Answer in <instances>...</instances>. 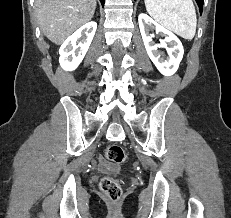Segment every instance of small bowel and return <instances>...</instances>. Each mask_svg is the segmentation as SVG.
I'll return each mask as SVG.
<instances>
[{
    "label": "small bowel",
    "instance_id": "small-bowel-1",
    "mask_svg": "<svg viewBox=\"0 0 231 218\" xmlns=\"http://www.w3.org/2000/svg\"><path fill=\"white\" fill-rule=\"evenodd\" d=\"M98 167L99 170L104 173H116L119 170L117 164L111 163L102 157L98 160Z\"/></svg>",
    "mask_w": 231,
    "mask_h": 218
}]
</instances>
